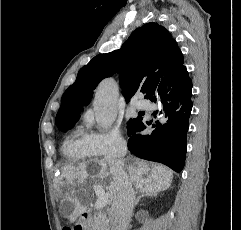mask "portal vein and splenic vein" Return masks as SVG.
Segmentation results:
<instances>
[{
	"label": "portal vein and splenic vein",
	"instance_id": "portal-vein-and-splenic-vein-1",
	"mask_svg": "<svg viewBox=\"0 0 241 230\" xmlns=\"http://www.w3.org/2000/svg\"><path fill=\"white\" fill-rule=\"evenodd\" d=\"M96 193L98 195V199L95 203V208L100 210L104 208L108 203V195L100 188L96 189Z\"/></svg>",
	"mask_w": 241,
	"mask_h": 230
}]
</instances>
